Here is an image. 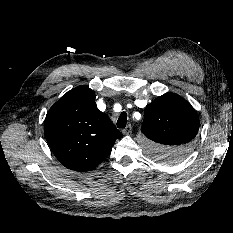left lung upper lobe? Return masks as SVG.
<instances>
[{
  "instance_id": "5c2ea615",
  "label": "left lung upper lobe",
  "mask_w": 233,
  "mask_h": 233,
  "mask_svg": "<svg viewBox=\"0 0 233 233\" xmlns=\"http://www.w3.org/2000/svg\"><path fill=\"white\" fill-rule=\"evenodd\" d=\"M198 130L196 111L177 94L166 93L144 110L141 131L149 139L147 151L161 163L173 164L186 156L193 148Z\"/></svg>"
}]
</instances>
